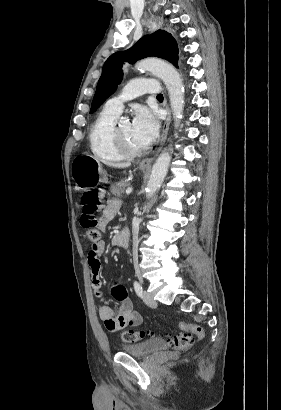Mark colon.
<instances>
[{
  "mask_svg": "<svg viewBox=\"0 0 281 410\" xmlns=\"http://www.w3.org/2000/svg\"><path fill=\"white\" fill-rule=\"evenodd\" d=\"M82 214L80 224L86 230L87 236L93 242H98L100 239V232L98 230L97 213L99 209L100 197L94 191H87L83 194L82 199ZM178 328L182 331L180 335L170 336L168 338L169 345L175 350H184L189 348L193 343V335L198 338L203 337L204 331L201 326L180 321ZM147 335L152 333L144 330H127L121 335L125 343H134L144 339Z\"/></svg>",
  "mask_w": 281,
  "mask_h": 410,
  "instance_id": "obj_1",
  "label": "colon"
}]
</instances>
